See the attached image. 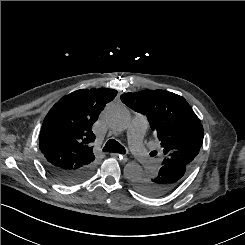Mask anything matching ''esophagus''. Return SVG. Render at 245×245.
Here are the masks:
<instances>
[{
	"instance_id": "esophagus-1",
	"label": "esophagus",
	"mask_w": 245,
	"mask_h": 245,
	"mask_svg": "<svg viewBox=\"0 0 245 245\" xmlns=\"http://www.w3.org/2000/svg\"><path fill=\"white\" fill-rule=\"evenodd\" d=\"M110 155L112 157H119L122 162H127V160H128V158L126 156H123V155H121L119 153L113 152V153H110Z\"/></svg>"
}]
</instances>
